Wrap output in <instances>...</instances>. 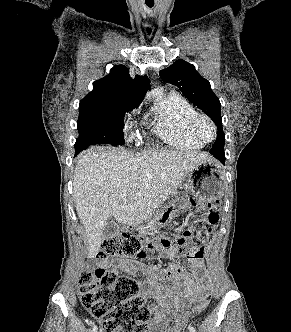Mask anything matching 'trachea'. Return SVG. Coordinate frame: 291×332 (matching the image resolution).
Masks as SVG:
<instances>
[{
    "label": "trachea",
    "instance_id": "obj_1",
    "mask_svg": "<svg viewBox=\"0 0 291 332\" xmlns=\"http://www.w3.org/2000/svg\"><path fill=\"white\" fill-rule=\"evenodd\" d=\"M146 5L151 8L154 6V3H146Z\"/></svg>",
    "mask_w": 291,
    "mask_h": 332
}]
</instances>
